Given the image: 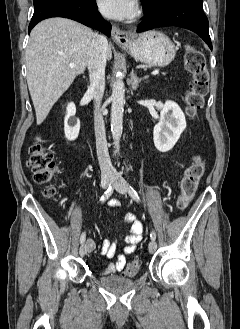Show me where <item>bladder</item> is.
Instances as JSON below:
<instances>
[{
	"label": "bladder",
	"mask_w": 240,
	"mask_h": 329,
	"mask_svg": "<svg viewBox=\"0 0 240 329\" xmlns=\"http://www.w3.org/2000/svg\"><path fill=\"white\" fill-rule=\"evenodd\" d=\"M102 287L110 291H121L123 289L131 288L135 284V279L132 277H124L120 275H112L100 279Z\"/></svg>",
	"instance_id": "31cf9c89"
}]
</instances>
